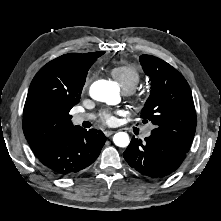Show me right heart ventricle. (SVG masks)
<instances>
[{"mask_svg":"<svg viewBox=\"0 0 221 221\" xmlns=\"http://www.w3.org/2000/svg\"><path fill=\"white\" fill-rule=\"evenodd\" d=\"M110 74L126 93L133 91L141 79L139 71L128 64L113 67Z\"/></svg>","mask_w":221,"mask_h":221,"instance_id":"e07e8e85","label":"right heart ventricle"}]
</instances>
